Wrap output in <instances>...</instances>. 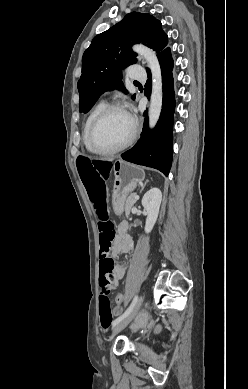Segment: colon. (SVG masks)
Returning <instances> with one entry per match:
<instances>
[{
    "label": "colon",
    "instance_id": "obj_1",
    "mask_svg": "<svg viewBox=\"0 0 248 389\" xmlns=\"http://www.w3.org/2000/svg\"><path fill=\"white\" fill-rule=\"evenodd\" d=\"M76 163L80 170L81 180L88 193L98 216L100 232V286L99 320L100 326L107 329L113 322L110 293L118 285L114 271V262L108 256V252L115 238V226L108 214L106 204L105 184L108 182L109 172L112 171V162L103 157H77ZM125 291H116L115 306L121 307L125 302Z\"/></svg>",
    "mask_w": 248,
    "mask_h": 389
}]
</instances>
